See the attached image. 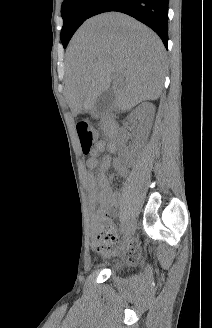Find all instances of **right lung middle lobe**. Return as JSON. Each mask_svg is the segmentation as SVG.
<instances>
[{
	"instance_id": "dd1d6c3e",
	"label": "right lung middle lobe",
	"mask_w": 212,
	"mask_h": 328,
	"mask_svg": "<svg viewBox=\"0 0 212 328\" xmlns=\"http://www.w3.org/2000/svg\"><path fill=\"white\" fill-rule=\"evenodd\" d=\"M98 0H64L61 6V16L63 18V27L61 30V42L66 48L69 40L80 27V25L89 18L90 11Z\"/></svg>"
}]
</instances>
